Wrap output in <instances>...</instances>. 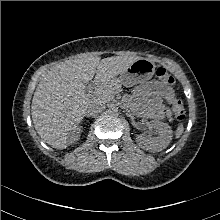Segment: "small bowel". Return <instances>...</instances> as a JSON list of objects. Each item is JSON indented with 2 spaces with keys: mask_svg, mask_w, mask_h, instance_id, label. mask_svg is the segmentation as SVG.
I'll use <instances>...</instances> for the list:
<instances>
[{
  "mask_svg": "<svg viewBox=\"0 0 220 220\" xmlns=\"http://www.w3.org/2000/svg\"><path fill=\"white\" fill-rule=\"evenodd\" d=\"M139 92L145 97L147 103L154 109L157 116L160 117L162 114L160 109L161 99L167 98L168 95L174 91L155 80L142 86Z\"/></svg>",
  "mask_w": 220,
  "mask_h": 220,
  "instance_id": "small-bowel-1",
  "label": "small bowel"
}]
</instances>
